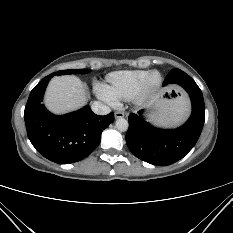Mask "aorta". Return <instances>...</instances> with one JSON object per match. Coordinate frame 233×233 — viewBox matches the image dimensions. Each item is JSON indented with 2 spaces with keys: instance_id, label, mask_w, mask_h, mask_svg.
Listing matches in <instances>:
<instances>
[{
  "instance_id": "762f6f07",
  "label": "aorta",
  "mask_w": 233,
  "mask_h": 233,
  "mask_svg": "<svg viewBox=\"0 0 233 233\" xmlns=\"http://www.w3.org/2000/svg\"><path fill=\"white\" fill-rule=\"evenodd\" d=\"M115 126L118 131L124 132V131H127L129 127V123L126 119L120 117L116 120Z\"/></svg>"
}]
</instances>
